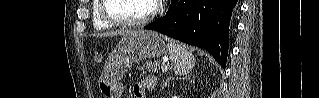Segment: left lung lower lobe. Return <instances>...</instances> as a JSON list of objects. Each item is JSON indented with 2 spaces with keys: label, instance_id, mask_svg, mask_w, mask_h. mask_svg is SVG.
<instances>
[{
  "label": "left lung lower lobe",
  "instance_id": "0a47b994",
  "mask_svg": "<svg viewBox=\"0 0 319 98\" xmlns=\"http://www.w3.org/2000/svg\"><path fill=\"white\" fill-rule=\"evenodd\" d=\"M236 4L237 0H171L166 15L144 29L202 47L225 68Z\"/></svg>",
  "mask_w": 319,
  "mask_h": 98
}]
</instances>
